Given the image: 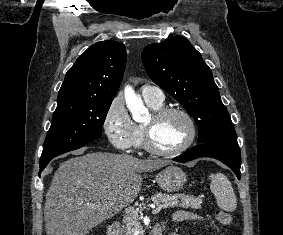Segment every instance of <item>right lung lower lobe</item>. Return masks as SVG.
<instances>
[{"label": "right lung lower lobe", "mask_w": 283, "mask_h": 235, "mask_svg": "<svg viewBox=\"0 0 283 235\" xmlns=\"http://www.w3.org/2000/svg\"><path fill=\"white\" fill-rule=\"evenodd\" d=\"M85 144H86V143H85ZM85 144L75 145V146H73V147H71V148H69V149H67V150H65V151H62V152L56 154L55 156L60 155V154H63V153H66V152H69V151H72V150H75V149H78V148H81V147H83ZM55 156H54V157H55ZM54 157H52V158H54ZM52 158H49V159H47V160H45V161L40 162V172L43 171V169L47 166V164L50 162V160H51Z\"/></svg>", "instance_id": "obj_1"}]
</instances>
